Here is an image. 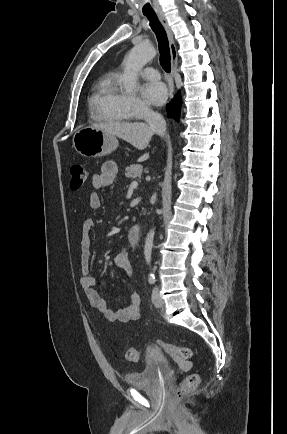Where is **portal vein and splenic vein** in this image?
Here are the masks:
<instances>
[{
	"label": "portal vein and splenic vein",
	"instance_id": "18ae733b",
	"mask_svg": "<svg viewBox=\"0 0 287 434\" xmlns=\"http://www.w3.org/2000/svg\"><path fill=\"white\" fill-rule=\"evenodd\" d=\"M138 186V182L137 181H133L131 184H130V187L131 188H136Z\"/></svg>",
	"mask_w": 287,
	"mask_h": 434
}]
</instances>
